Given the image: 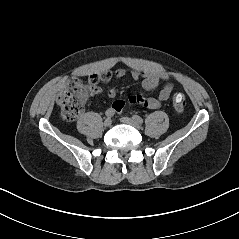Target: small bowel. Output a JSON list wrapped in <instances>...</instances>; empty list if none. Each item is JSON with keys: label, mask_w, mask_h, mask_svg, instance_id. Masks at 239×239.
<instances>
[{"label": "small bowel", "mask_w": 239, "mask_h": 239, "mask_svg": "<svg viewBox=\"0 0 239 239\" xmlns=\"http://www.w3.org/2000/svg\"><path fill=\"white\" fill-rule=\"evenodd\" d=\"M126 74V70L123 68H119L115 70L112 74L111 72H104L102 74H94L89 77V79L94 78L96 83L93 85L91 94L90 95H97L101 93V89L98 84L102 82L109 81L112 76L116 78H122ZM131 77L133 80H141V88L143 90H153L156 88L160 83H165L163 88L161 89L160 93L157 97H150L144 98L137 95L134 92H131L128 96L129 103L132 104H139L148 109H159L164 101H166L172 94L173 91V84L169 82V76L166 73H158V72H143L138 70H133L131 72ZM108 96L110 98H115L116 91L111 89L108 91ZM126 103L123 100H116L113 105L112 109L115 113H120L125 108Z\"/></svg>", "instance_id": "obj_1"}]
</instances>
